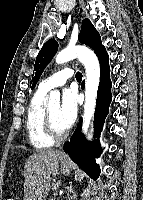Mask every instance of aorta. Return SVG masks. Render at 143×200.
Listing matches in <instances>:
<instances>
[{
    "label": "aorta",
    "instance_id": "aorta-1",
    "mask_svg": "<svg viewBox=\"0 0 143 200\" xmlns=\"http://www.w3.org/2000/svg\"><path fill=\"white\" fill-rule=\"evenodd\" d=\"M74 58L84 65L86 71L85 103L83 112V133H87L94 114L97 91L100 82V65L95 53L85 46H68L56 55V63H66ZM50 106H59L60 94L52 91L49 95Z\"/></svg>",
    "mask_w": 143,
    "mask_h": 200
}]
</instances>
